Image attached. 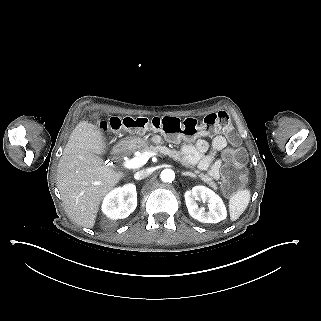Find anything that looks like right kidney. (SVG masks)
I'll use <instances>...</instances> for the list:
<instances>
[{"label": "right kidney", "mask_w": 321, "mask_h": 321, "mask_svg": "<svg viewBox=\"0 0 321 321\" xmlns=\"http://www.w3.org/2000/svg\"><path fill=\"white\" fill-rule=\"evenodd\" d=\"M137 207V191L134 184L117 188L106 196L103 212L112 219L128 217Z\"/></svg>", "instance_id": "1"}]
</instances>
